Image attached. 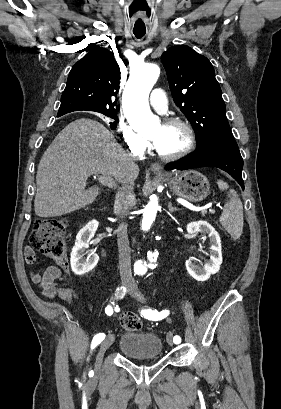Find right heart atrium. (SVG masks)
Returning <instances> with one entry per match:
<instances>
[{
	"mask_svg": "<svg viewBox=\"0 0 281 409\" xmlns=\"http://www.w3.org/2000/svg\"><path fill=\"white\" fill-rule=\"evenodd\" d=\"M143 123V115H123L119 119L117 130L121 134L124 144L132 151L140 152L145 149V139L138 132Z\"/></svg>",
	"mask_w": 281,
	"mask_h": 409,
	"instance_id": "right-heart-atrium-1",
	"label": "right heart atrium"
}]
</instances>
